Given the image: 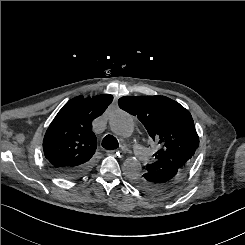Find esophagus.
I'll return each mask as SVG.
<instances>
[{
    "label": "esophagus",
    "instance_id": "1",
    "mask_svg": "<svg viewBox=\"0 0 245 245\" xmlns=\"http://www.w3.org/2000/svg\"><path fill=\"white\" fill-rule=\"evenodd\" d=\"M106 153L108 155H115L116 153H119V152H116L115 150H107Z\"/></svg>",
    "mask_w": 245,
    "mask_h": 245
}]
</instances>
